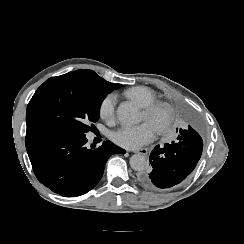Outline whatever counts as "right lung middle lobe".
Here are the masks:
<instances>
[{"instance_id":"1","label":"right lung middle lobe","mask_w":244,"mask_h":244,"mask_svg":"<svg viewBox=\"0 0 244 244\" xmlns=\"http://www.w3.org/2000/svg\"><path fill=\"white\" fill-rule=\"evenodd\" d=\"M92 70H77L45 81L27 106V129L85 135L97 122L102 101L112 91ZM118 84L115 88H118Z\"/></svg>"}]
</instances>
